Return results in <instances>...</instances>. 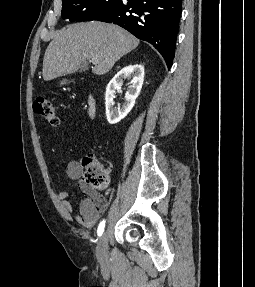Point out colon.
I'll return each mask as SVG.
<instances>
[{"label":"colon","mask_w":255,"mask_h":287,"mask_svg":"<svg viewBox=\"0 0 255 287\" xmlns=\"http://www.w3.org/2000/svg\"><path fill=\"white\" fill-rule=\"evenodd\" d=\"M33 110L50 125L57 127L60 118L52 102L44 97H38L33 103ZM85 168L84 181L86 185L96 191H103L109 184V171L105 165L94 155H88L83 159Z\"/></svg>","instance_id":"5ec220e1"}]
</instances>
